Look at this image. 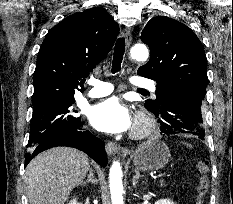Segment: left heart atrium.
Listing matches in <instances>:
<instances>
[{
    "mask_svg": "<svg viewBox=\"0 0 233 204\" xmlns=\"http://www.w3.org/2000/svg\"><path fill=\"white\" fill-rule=\"evenodd\" d=\"M91 125L105 133L117 134L132 126V117L126 105L117 97L95 104L88 114Z\"/></svg>",
    "mask_w": 233,
    "mask_h": 204,
    "instance_id": "1",
    "label": "left heart atrium"
}]
</instances>
